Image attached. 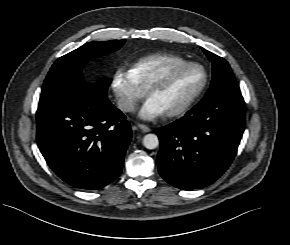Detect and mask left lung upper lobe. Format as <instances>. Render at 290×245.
<instances>
[{
  "instance_id": "obj_1",
  "label": "left lung upper lobe",
  "mask_w": 290,
  "mask_h": 245,
  "mask_svg": "<svg viewBox=\"0 0 290 245\" xmlns=\"http://www.w3.org/2000/svg\"><path fill=\"white\" fill-rule=\"evenodd\" d=\"M202 50L212 62L213 75L210 89L202 101L210 100L223 94H241L228 62L212 52L205 49Z\"/></svg>"
}]
</instances>
